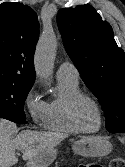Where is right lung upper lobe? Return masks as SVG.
<instances>
[{
  "label": "right lung upper lobe",
  "instance_id": "obj_1",
  "mask_svg": "<svg viewBox=\"0 0 125 167\" xmlns=\"http://www.w3.org/2000/svg\"><path fill=\"white\" fill-rule=\"evenodd\" d=\"M37 14L21 3L0 4V83L33 86Z\"/></svg>",
  "mask_w": 125,
  "mask_h": 167
}]
</instances>
